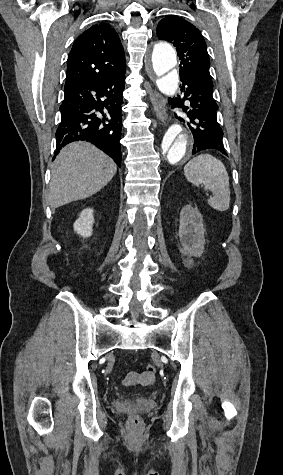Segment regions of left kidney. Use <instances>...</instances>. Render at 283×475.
<instances>
[{
	"mask_svg": "<svg viewBox=\"0 0 283 475\" xmlns=\"http://www.w3.org/2000/svg\"><path fill=\"white\" fill-rule=\"evenodd\" d=\"M204 232L203 218L198 208H192L190 204L184 206L180 212L178 234L182 245L181 253L200 257L204 251Z\"/></svg>",
	"mask_w": 283,
	"mask_h": 475,
	"instance_id": "obj_1",
	"label": "left kidney"
}]
</instances>
